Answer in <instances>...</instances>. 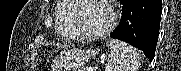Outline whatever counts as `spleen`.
<instances>
[{"label":"spleen","instance_id":"obj_1","mask_svg":"<svg viewBox=\"0 0 181 71\" xmlns=\"http://www.w3.org/2000/svg\"><path fill=\"white\" fill-rule=\"evenodd\" d=\"M109 58L105 71H137L140 66V56L133 46L125 42L110 39L107 41Z\"/></svg>","mask_w":181,"mask_h":71}]
</instances>
